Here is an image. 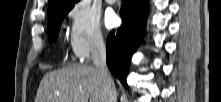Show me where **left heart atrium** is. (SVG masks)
Returning <instances> with one entry per match:
<instances>
[{
	"label": "left heart atrium",
	"mask_w": 221,
	"mask_h": 102,
	"mask_svg": "<svg viewBox=\"0 0 221 102\" xmlns=\"http://www.w3.org/2000/svg\"><path fill=\"white\" fill-rule=\"evenodd\" d=\"M118 17L117 15L113 12V11H109L106 15H105V25L108 28H113L118 24Z\"/></svg>",
	"instance_id": "39dd6f15"
}]
</instances>
